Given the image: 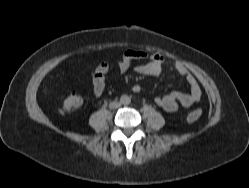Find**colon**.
I'll use <instances>...</instances> for the list:
<instances>
[{"label":"colon","mask_w":249,"mask_h":188,"mask_svg":"<svg viewBox=\"0 0 249 188\" xmlns=\"http://www.w3.org/2000/svg\"><path fill=\"white\" fill-rule=\"evenodd\" d=\"M83 103V97L76 92L63 96L61 100V111L64 113L71 112L79 108ZM201 110L196 109L187 114L186 120L189 123L196 122L201 117Z\"/></svg>","instance_id":"1"}]
</instances>
